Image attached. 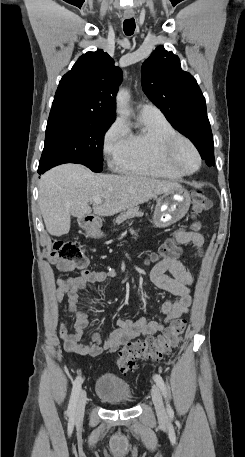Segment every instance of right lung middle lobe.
I'll return each mask as SVG.
<instances>
[{"mask_svg": "<svg viewBox=\"0 0 245 457\" xmlns=\"http://www.w3.org/2000/svg\"><path fill=\"white\" fill-rule=\"evenodd\" d=\"M114 120L93 114L50 113L38 173L69 162L101 172L104 134Z\"/></svg>", "mask_w": 245, "mask_h": 457, "instance_id": "dd1d6c3e", "label": "right lung middle lobe"}]
</instances>
